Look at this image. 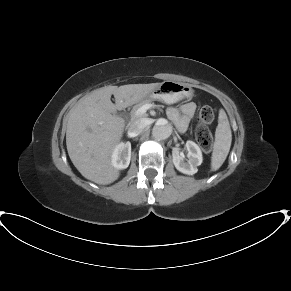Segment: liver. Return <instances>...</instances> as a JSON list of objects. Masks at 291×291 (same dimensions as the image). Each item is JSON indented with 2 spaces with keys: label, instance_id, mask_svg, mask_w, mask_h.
<instances>
[{
  "label": "liver",
  "instance_id": "1",
  "mask_svg": "<svg viewBox=\"0 0 291 291\" xmlns=\"http://www.w3.org/2000/svg\"><path fill=\"white\" fill-rule=\"evenodd\" d=\"M157 85L105 86L82 97L70 110L66 130L67 151L82 176L102 185L118 179L119 171L112 165L111 155L121 141L125 120L115 113L119 108L141 101ZM112 95L116 104L111 101Z\"/></svg>",
  "mask_w": 291,
  "mask_h": 291
}]
</instances>
